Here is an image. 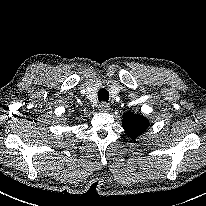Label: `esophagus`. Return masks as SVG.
<instances>
[{
	"label": "esophagus",
	"instance_id": "obj_1",
	"mask_svg": "<svg viewBox=\"0 0 206 206\" xmlns=\"http://www.w3.org/2000/svg\"><path fill=\"white\" fill-rule=\"evenodd\" d=\"M99 110L102 112H109L110 110V105L107 102H101L99 105Z\"/></svg>",
	"mask_w": 206,
	"mask_h": 206
}]
</instances>
